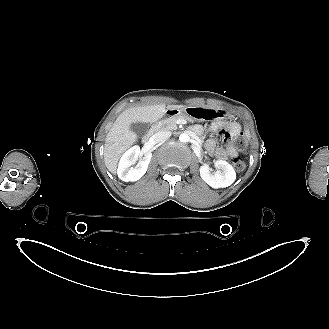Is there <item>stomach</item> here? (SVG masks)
Instances as JSON below:
<instances>
[{"label":"stomach","mask_w":329,"mask_h":329,"mask_svg":"<svg viewBox=\"0 0 329 329\" xmlns=\"http://www.w3.org/2000/svg\"><path fill=\"white\" fill-rule=\"evenodd\" d=\"M168 112L172 116H180L183 115L187 117L189 120H218L226 117V113L222 109H211L207 107H185L180 109H168Z\"/></svg>","instance_id":"stomach-1"}]
</instances>
